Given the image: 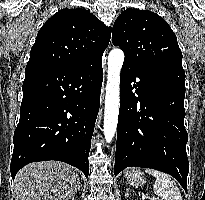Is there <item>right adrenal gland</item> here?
<instances>
[{"label": "right adrenal gland", "instance_id": "right-adrenal-gland-1", "mask_svg": "<svg viewBox=\"0 0 205 200\" xmlns=\"http://www.w3.org/2000/svg\"><path fill=\"white\" fill-rule=\"evenodd\" d=\"M78 187H77V190L80 191L81 190V184H80V180L78 179ZM72 200H75L74 197L72 198Z\"/></svg>", "mask_w": 205, "mask_h": 200}]
</instances>
